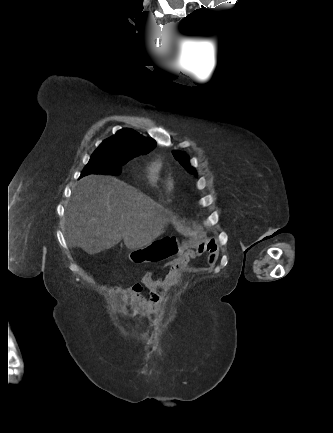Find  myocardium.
Instances as JSON below:
<instances>
[{"label":"myocardium","mask_w":333,"mask_h":433,"mask_svg":"<svg viewBox=\"0 0 333 433\" xmlns=\"http://www.w3.org/2000/svg\"><path fill=\"white\" fill-rule=\"evenodd\" d=\"M169 185H170V189H171L173 187V180H170Z\"/></svg>","instance_id":"obj_1"}]
</instances>
